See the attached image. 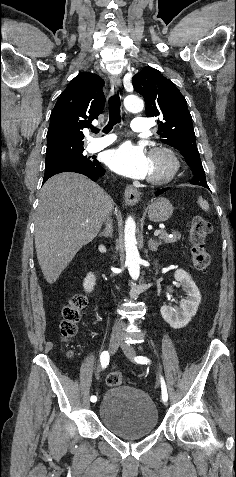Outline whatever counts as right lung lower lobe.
I'll use <instances>...</instances> for the list:
<instances>
[{
	"instance_id": "obj_1",
	"label": "right lung lower lobe",
	"mask_w": 236,
	"mask_h": 477,
	"mask_svg": "<svg viewBox=\"0 0 236 477\" xmlns=\"http://www.w3.org/2000/svg\"><path fill=\"white\" fill-rule=\"evenodd\" d=\"M61 172H75V173L83 174V175L89 177L93 181H97L100 177H102L105 174V169L98 162L97 164H95L93 167H90V168L79 167V168H71V169L64 170V171L49 172V173H45L44 178H43V183L47 179L52 177L53 175L61 173Z\"/></svg>"
}]
</instances>
